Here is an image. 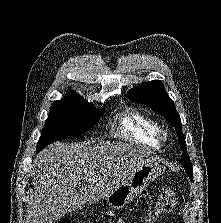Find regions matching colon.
Wrapping results in <instances>:
<instances>
[{"instance_id": "colon-1", "label": "colon", "mask_w": 221, "mask_h": 223, "mask_svg": "<svg viewBox=\"0 0 221 223\" xmlns=\"http://www.w3.org/2000/svg\"><path fill=\"white\" fill-rule=\"evenodd\" d=\"M176 206V194L170 187H164L153 207L148 211L143 223H154L159 217L170 213ZM58 223H71L69 218H62Z\"/></svg>"}]
</instances>
